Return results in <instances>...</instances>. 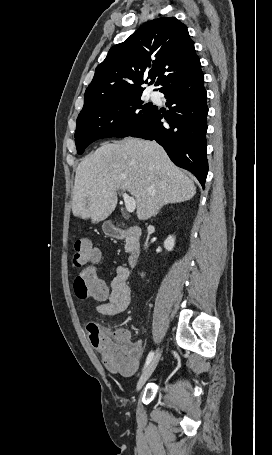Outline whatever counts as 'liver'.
<instances>
[{
	"label": "liver",
	"mask_w": 272,
	"mask_h": 455,
	"mask_svg": "<svg viewBox=\"0 0 272 455\" xmlns=\"http://www.w3.org/2000/svg\"><path fill=\"white\" fill-rule=\"evenodd\" d=\"M119 190L135 197L139 220L149 219L165 204L181 203L196 194L193 181L160 145L132 138L104 143L79 163L73 215L92 222L106 219L117 205Z\"/></svg>",
	"instance_id": "6515ba94"
}]
</instances>
